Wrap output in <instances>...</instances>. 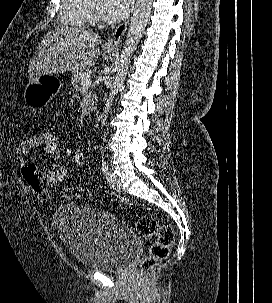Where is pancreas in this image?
<instances>
[{"label":"pancreas","instance_id":"cf45deb5","mask_svg":"<svg viewBox=\"0 0 272 303\" xmlns=\"http://www.w3.org/2000/svg\"><path fill=\"white\" fill-rule=\"evenodd\" d=\"M87 75H90V72L88 70H82L80 72H76L72 75L71 78V83L73 88L77 91L80 92L81 91V81L84 77H86ZM84 99L82 101V106H85V103L88 99H90L91 95H92V91L90 89L86 90L84 93Z\"/></svg>","mask_w":272,"mask_h":303}]
</instances>
